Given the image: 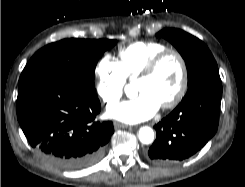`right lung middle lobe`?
<instances>
[{
	"label": "right lung middle lobe",
	"mask_w": 245,
	"mask_h": 187,
	"mask_svg": "<svg viewBox=\"0 0 245 187\" xmlns=\"http://www.w3.org/2000/svg\"><path fill=\"white\" fill-rule=\"evenodd\" d=\"M116 40L64 39L37 51L25 66L19 87L38 80H59L95 92L94 71L100 56Z\"/></svg>",
	"instance_id": "dd1d6c3e"
}]
</instances>
